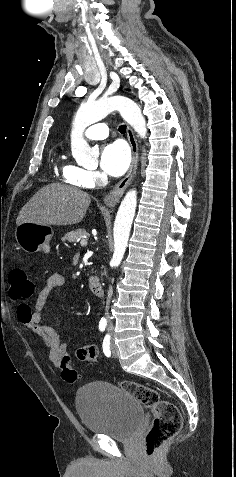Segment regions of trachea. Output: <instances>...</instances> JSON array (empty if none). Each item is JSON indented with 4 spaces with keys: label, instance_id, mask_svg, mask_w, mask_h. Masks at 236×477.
Segmentation results:
<instances>
[{
    "label": "trachea",
    "instance_id": "trachea-1",
    "mask_svg": "<svg viewBox=\"0 0 236 477\" xmlns=\"http://www.w3.org/2000/svg\"><path fill=\"white\" fill-rule=\"evenodd\" d=\"M119 132L120 133H125L126 132V125H120L119 126Z\"/></svg>",
    "mask_w": 236,
    "mask_h": 477
}]
</instances>
